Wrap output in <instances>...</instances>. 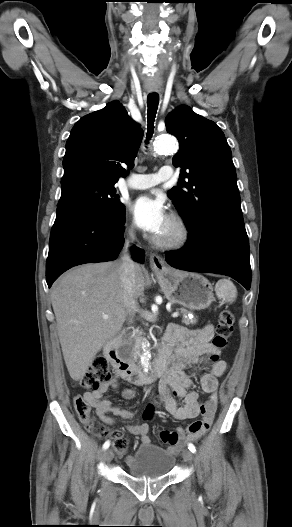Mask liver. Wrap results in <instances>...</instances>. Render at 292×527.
<instances>
[{
	"label": "liver",
	"instance_id": "6515ba94",
	"mask_svg": "<svg viewBox=\"0 0 292 527\" xmlns=\"http://www.w3.org/2000/svg\"><path fill=\"white\" fill-rule=\"evenodd\" d=\"M136 297L144 293L145 271L136 264ZM121 262L86 264L61 276L51 290L59 341L70 377L81 380L96 354L127 318ZM103 315H108L104 319Z\"/></svg>",
	"mask_w": 292,
	"mask_h": 527
}]
</instances>
